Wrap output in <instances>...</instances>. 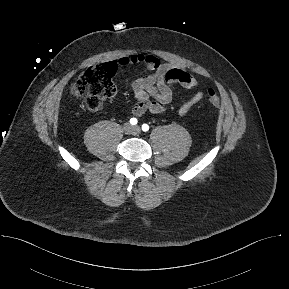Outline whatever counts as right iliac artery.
Segmentation results:
<instances>
[{"instance_id":"obj_1","label":"right iliac artery","mask_w":289,"mask_h":289,"mask_svg":"<svg viewBox=\"0 0 289 289\" xmlns=\"http://www.w3.org/2000/svg\"><path fill=\"white\" fill-rule=\"evenodd\" d=\"M137 119L136 118H131L130 119V124H132V125H136L137 124Z\"/></svg>"}]
</instances>
